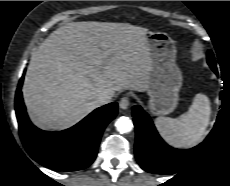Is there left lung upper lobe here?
Wrapping results in <instances>:
<instances>
[{"mask_svg": "<svg viewBox=\"0 0 230 186\" xmlns=\"http://www.w3.org/2000/svg\"><path fill=\"white\" fill-rule=\"evenodd\" d=\"M207 61L210 67L212 68V70L216 72L217 68H216L215 59H214L213 53L210 50L207 53Z\"/></svg>", "mask_w": 230, "mask_h": 186, "instance_id": "5c2ea615", "label": "left lung upper lobe"}]
</instances>
